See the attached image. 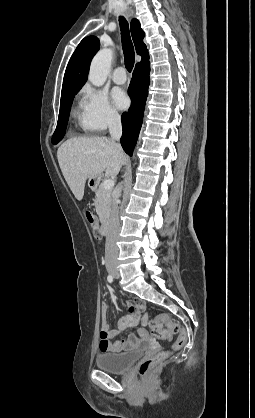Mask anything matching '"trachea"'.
<instances>
[{
  "mask_svg": "<svg viewBox=\"0 0 255 418\" xmlns=\"http://www.w3.org/2000/svg\"><path fill=\"white\" fill-rule=\"evenodd\" d=\"M121 28L122 47L125 59V67L131 72L135 62L133 43L130 37L129 25L124 17L119 18Z\"/></svg>",
  "mask_w": 255,
  "mask_h": 418,
  "instance_id": "3493384b",
  "label": "trachea"
}]
</instances>
